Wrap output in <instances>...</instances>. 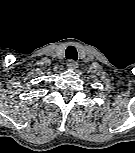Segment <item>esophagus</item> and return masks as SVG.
Wrapping results in <instances>:
<instances>
[{"instance_id": "esophagus-1", "label": "esophagus", "mask_w": 135, "mask_h": 153, "mask_svg": "<svg viewBox=\"0 0 135 153\" xmlns=\"http://www.w3.org/2000/svg\"><path fill=\"white\" fill-rule=\"evenodd\" d=\"M67 66L70 69H75V68H77V62L74 61V60H69L68 63H67Z\"/></svg>"}]
</instances>
